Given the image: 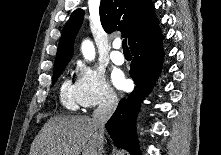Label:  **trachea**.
<instances>
[{"mask_svg":"<svg viewBox=\"0 0 221 155\" xmlns=\"http://www.w3.org/2000/svg\"><path fill=\"white\" fill-rule=\"evenodd\" d=\"M122 48H123V52H130L129 48H128V45H127V39H123Z\"/></svg>","mask_w":221,"mask_h":155,"instance_id":"1","label":"trachea"}]
</instances>
